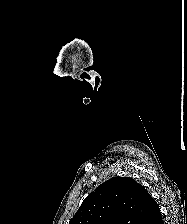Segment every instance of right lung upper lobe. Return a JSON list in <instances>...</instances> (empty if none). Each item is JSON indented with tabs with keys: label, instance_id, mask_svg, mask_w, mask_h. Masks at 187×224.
Instances as JSON below:
<instances>
[{
	"label": "right lung upper lobe",
	"instance_id": "right-lung-upper-lobe-1",
	"mask_svg": "<svg viewBox=\"0 0 187 224\" xmlns=\"http://www.w3.org/2000/svg\"><path fill=\"white\" fill-rule=\"evenodd\" d=\"M69 224H164L160 209L134 179L113 177L90 193Z\"/></svg>",
	"mask_w": 187,
	"mask_h": 224
}]
</instances>
